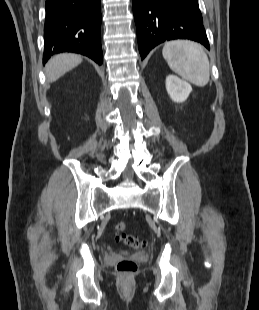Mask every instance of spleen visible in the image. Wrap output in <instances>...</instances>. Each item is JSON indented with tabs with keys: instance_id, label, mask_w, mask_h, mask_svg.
I'll return each instance as SVG.
<instances>
[{
	"instance_id": "spleen-1",
	"label": "spleen",
	"mask_w": 259,
	"mask_h": 310,
	"mask_svg": "<svg viewBox=\"0 0 259 310\" xmlns=\"http://www.w3.org/2000/svg\"><path fill=\"white\" fill-rule=\"evenodd\" d=\"M171 70L183 79L200 87L210 78V64L203 47L193 41L176 40L167 42L162 50Z\"/></svg>"
}]
</instances>
